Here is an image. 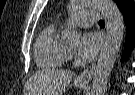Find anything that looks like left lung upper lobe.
<instances>
[{
	"instance_id": "obj_1",
	"label": "left lung upper lobe",
	"mask_w": 135,
	"mask_h": 95,
	"mask_svg": "<svg viewBox=\"0 0 135 95\" xmlns=\"http://www.w3.org/2000/svg\"><path fill=\"white\" fill-rule=\"evenodd\" d=\"M114 1L119 7L120 11L129 7L131 4H133L132 0H114Z\"/></svg>"
}]
</instances>
